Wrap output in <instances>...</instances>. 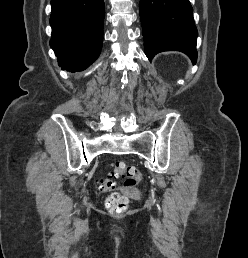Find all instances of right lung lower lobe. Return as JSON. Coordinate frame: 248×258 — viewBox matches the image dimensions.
Instances as JSON below:
<instances>
[{
	"label": "right lung lower lobe",
	"instance_id": "98d812e1",
	"mask_svg": "<svg viewBox=\"0 0 248 258\" xmlns=\"http://www.w3.org/2000/svg\"><path fill=\"white\" fill-rule=\"evenodd\" d=\"M50 46L63 68L81 71L99 56L104 0H51Z\"/></svg>",
	"mask_w": 248,
	"mask_h": 258
}]
</instances>
